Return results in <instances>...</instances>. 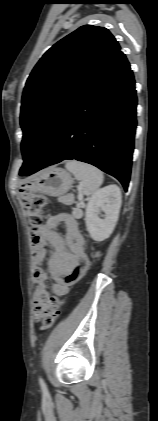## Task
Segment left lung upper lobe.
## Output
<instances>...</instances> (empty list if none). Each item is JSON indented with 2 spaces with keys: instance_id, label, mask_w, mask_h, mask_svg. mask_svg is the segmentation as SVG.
Here are the masks:
<instances>
[{
  "instance_id": "1",
  "label": "left lung upper lobe",
  "mask_w": 158,
  "mask_h": 421,
  "mask_svg": "<svg viewBox=\"0 0 158 421\" xmlns=\"http://www.w3.org/2000/svg\"><path fill=\"white\" fill-rule=\"evenodd\" d=\"M119 50L108 29L84 25L42 56L22 96L20 173L35 165L63 114Z\"/></svg>"
}]
</instances>
